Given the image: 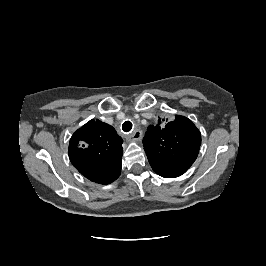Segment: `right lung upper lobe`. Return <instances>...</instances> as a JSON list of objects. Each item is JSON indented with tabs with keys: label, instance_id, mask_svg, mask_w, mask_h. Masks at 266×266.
I'll return each mask as SVG.
<instances>
[{
	"label": "right lung upper lobe",
	"instance_id": "1",
	"mask_svg": "<svg viewBox=\"0 0 266 266\" xmlns=\"http://www.w3.org/2000/svg\"><path fill=\"white\" fill-rule=\"evenodd\" d=\"M122 143V138L112 126L92 119L72 135L69 158L73 166L89 180L110 184L121 173Z\"/></svg>",
	"mask_w": 266,
	"mask_h": 266
}]
</instances>
